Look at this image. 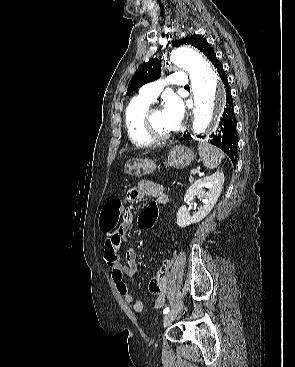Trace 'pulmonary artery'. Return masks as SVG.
<instances>
[{
  "mask_svg": "<svg viewBox=\"0 0 295 367\" xmlns=\"http://www.w3.org/2000/svg\"><path fill=\"white\" fill-rule=\"evenodd\" d=\"M188 82L189 81L186 73L183 71H177L169 75L165 80L146 84L139 90L138 96L142 99L153 102L167 83L180 87H186L188 86Z\"/></svg>",
  "mask_w": 295,
  "mask_h": 367,
  "instance_id": "obj_1",
  "label": "pulmonary artery"
}]
</instances>
